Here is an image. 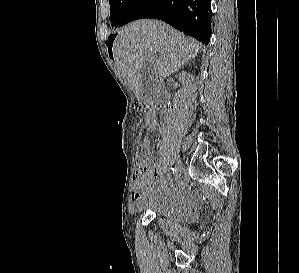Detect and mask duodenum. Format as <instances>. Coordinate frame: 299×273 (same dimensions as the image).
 I'll return each instance as SVG.
<instances>
[{"label":"duodenum","instance_id":"1","mask_svg":"<svg viewBox=\"0 0 299 273\" xmlns=\"http://www.w3.org/2000/svg\"><path fill=\"white\" fill-rule=\"evenodd\" d=\"M164 102L163 98L160 99L159 103L162 105Z\"/></svg>","mask_w":299,"mask_h":273}]
</instances>
